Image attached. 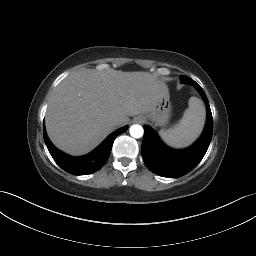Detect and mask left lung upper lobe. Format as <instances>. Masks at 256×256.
<instances>
[{"label":"left lung upper lobe","instance_id":"1","mask_svg":"<svg viewBox=\"0 0 256 256\" xmlns=\"http://www.w3.org/2000/svg\"><path fill=\"white\" fill-rule=\"evenodd\" d=\"M186 79H188L187 76L181 75V81H182L183 83H187Z\"/></svg>","mask_w":256,"mask_h":256}]
</instances>
